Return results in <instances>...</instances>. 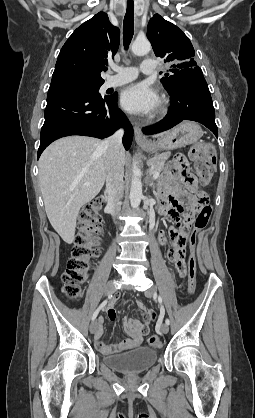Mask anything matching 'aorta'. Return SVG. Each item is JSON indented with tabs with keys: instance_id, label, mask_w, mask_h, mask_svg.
<instances>
[{
	"instance_id": "1",
	"label": "aorta",
	"mask_w": 255,
	"mask_h": 418,
	"mask_svg": "<svg viewBox=\"0 0 255 418\" xmlns=\"http://www.w3.org/2000/svg\"><path fill=\"white\" fill-rule=\"evenodd\" d=\"M150 49L151 45L147 40H136L132 44V52L135 55H145ZM132 174L129 198L132 208H138L142 198V182L140 179V169L136 164L133 165Z\"/></svg>"
}]
</instances>
